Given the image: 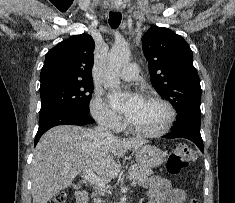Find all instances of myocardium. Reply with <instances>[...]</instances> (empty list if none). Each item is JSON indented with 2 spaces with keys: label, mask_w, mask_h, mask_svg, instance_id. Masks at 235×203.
I'll list each match as a JSON object with an SVG mask.
<instances>
[{
  "label": "myocardium",
  "mask_w": 235,
  "mask_h": 203,
  "mask_svg": "<svg viewBox=\"0 0 235 203\" xmlns=\"http://www.w3.org/2000/svg\"><path fill=\"white\" fill-rule=\"evenodd\" d=\"M145 100L159 103L165 107L167 115H166V119L164 123L158 129H155V130H142L133 126L128 119L126 121V128L133 134L142 136V137L152 138V137H159V136L165 135L171 129L176 118V111L173 105L168 100L159 96H148L146 97Z\"/></svg>",
  "instance_id": "1"
}]
</instances>
